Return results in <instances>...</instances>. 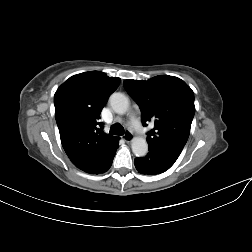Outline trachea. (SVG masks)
Returning <instances> with one entry per match:
<instances>
[{
    "mask_svg": "<svg viewBox=\"0 0 252 252\" xmlns=\"http://www.w3.org/2000/svg\"><path fill=\"white\" fill-rule=\"evenodd\" d=\"M110 134L121 136L124 134L123 127L119 123H115L110 128Z\"/></svg>",
    "mask_w": 252,
    "mask_h": 252,
    "instance_id": "obj_1",
    "label": "trachea"
}]
</instances>
